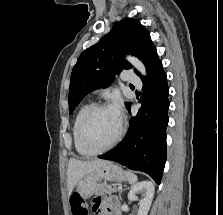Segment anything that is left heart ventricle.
I'll list each match as a JSON object with an SVG mask.
<instances>
[{
	"mask_svg": "<svg viewBox=\"0 0 223 215\" xmlns=\"http://www.w3.org/2000/svg\"><path fill=\"white\" fill-rule=\"evenodd\" d=\"M119 127L120 120L111 109L98 111L87 129L88 144L94 149L106 147L116 137Z\"/></svg>",
	"mask_w": 223,
	"mask_h": 215,
	"instance_id": "left-heart-ventricle-1",
	"label": "left heart ventricle"
}]
</instances>
